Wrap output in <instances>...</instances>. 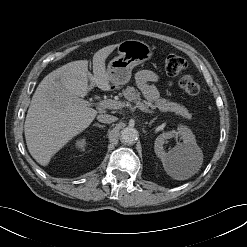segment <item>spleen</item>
I'll return each instance as SVG.
<instances>
[{
	"instance_id": "3e777b00",
	"label": "spleen",
	"mask_w": 247,
	"mask_h": 247,
	"mask_svg": "<svg viewBox=\"0 0 247 247\" xmlns=\"http://www.w3.org/2000/svg\"><path fill=\"white\" fill-rule=\"evenodd\" d=\"M182 162V160H180ZM179 162V161H178ZM176 168H173L171 166H168V171L170 173V175H172L173 177H175L176 179H187L188 177H190L191 175H193L195 173V171H191L189 174L181 176L179 175L176 170Z\"/></svg>"
}]
</instances>
